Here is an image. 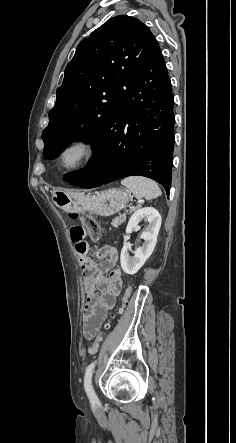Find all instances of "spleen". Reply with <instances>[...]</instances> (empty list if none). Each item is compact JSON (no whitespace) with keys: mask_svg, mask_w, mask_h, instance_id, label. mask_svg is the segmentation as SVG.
Masks as SVG:
<instances>
[{"mask_svg":"<svg viewBox=\"0 0 236 443\" xmlns=\"http://www.w3.org/2000/svg\"><path fill=\"white\" fill-rule=\"evenodd\" d=\"M121 184L128 188L137 199L151 200L162 194L156 182L142 176L126 177L121 181Z\"/></svg>","mask_w":236,"mask_h":443,"instance_id":"spleen-1","label":"spleen"}]
</instances>
